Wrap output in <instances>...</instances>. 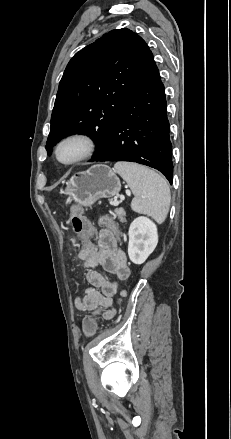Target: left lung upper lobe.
<instances>
[{"instance_id":"5c2ea615","label":"left lung upper lobe","mask_w":231,"mask_h":439,"mask_svg":"<svg viewBox=\"0 0 231 439\" xmlns=\"http://www.w3.org/2000/svg\"><path fill=\"white\" fill-rule=\"evenodd\" d=\"M152 57L145 41L129 29L112 30L77 52L59 84L48 155L62 138L82 133L95 140V158Z\"/></svg>"}]
</instances>
